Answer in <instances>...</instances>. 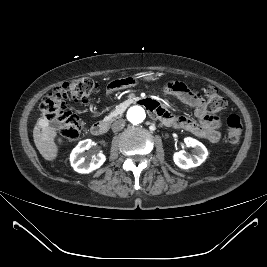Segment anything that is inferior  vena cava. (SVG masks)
<instances>
[{"instance_id":"1","label":"inferior vena cava","mask_w":267,"mask_h":267,"mask_svg":"<svg viewBox=\"0 0 267 267\" xmlns=\"http://www.w3.org/2000/svg\"><path fill=\"white\" fill-rule=\"evenodd\" d=\"M125 126V120L124 119H118L112 124V130L113 132L120 131L124 128Z\"/></svg>"}]
</instances>
